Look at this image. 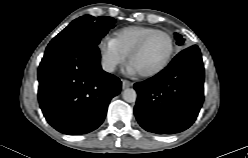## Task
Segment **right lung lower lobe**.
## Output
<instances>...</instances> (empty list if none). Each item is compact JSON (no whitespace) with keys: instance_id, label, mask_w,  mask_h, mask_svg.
I'll return each instance as SVG.
<instances>
[{"instance_id":"1","label":"right lung lower lobe","mask_w":248,"mask_h":158,"mask_svg":"<svg viewBox=\"0 0 248 158\" xmlns=\"http://www.w3.org/2000/svg\"><path fill=\"white\" fill-rule=\"evenodd\" d=\"M38 99L48 123L61 133L98 128L121 81L102 70L100 51L88 42L51 41L38 69Z\"/></svg>"}]
</instances>
